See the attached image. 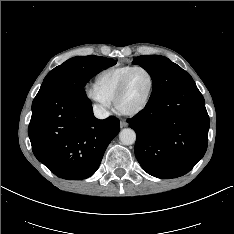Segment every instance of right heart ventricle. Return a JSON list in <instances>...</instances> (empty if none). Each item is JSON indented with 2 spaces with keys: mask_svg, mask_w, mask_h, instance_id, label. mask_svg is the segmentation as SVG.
I'll return each instance as SVG.
<instances>
[{
  "mask_svg": "<svg viewBox=\"0 0 234 234\" xmlns=\"http://www.w3.org/2000/svg\"><path fill=\"white\" fill-rule=\"evenodd\" d=\"M134 67V65L119 64L105 68L97 75L95 85L108 99L113 100L121 81Z\"/></svg>",
  "mask_w": 234,
  "mask_h": 234,
  "instance_id": "right-heart-ventricle-1",
  "label": "right heart ventricle"
}]
</instances>
